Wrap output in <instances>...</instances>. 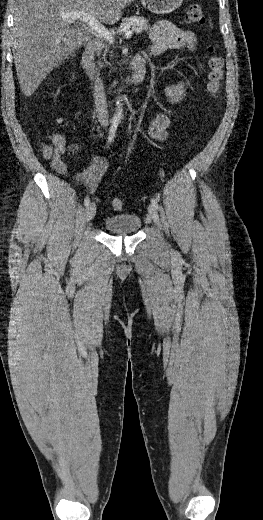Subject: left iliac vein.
Here are the masks:
<instances>
[{"mask_svg": "<svg viewBox=\"0 0 263 520\" xmlns=\"http://www.w3.org/2000/svg\"><path fill=\"white\" fill-rule=\"evenodd\" d=\"M148 212L153 222L160 227L159 216L156 208L153 205L148 206Z\"/></svg>", "mask_w": 263, "mask_h": 520, "instance_id": "4c4485c4", "label": "left iliac vein"}]
</instances>
